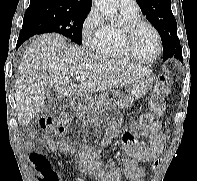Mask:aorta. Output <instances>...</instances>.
I'll list each match as a JSON object with an SVG mask.
<instances>
[{"label": "aorta", "instance_id": "762f6f07", "mask_svg": "<svg viewBox=\"0 0 197 181\" xmlns=\"http://www.w3.org/2000/svg\"><path fill=\"white\" fill-rule=\"evenodd\" d=\"M100 13L108 18L115 19L117 15L116 0H93Z\"/></svg>", "mask_w": 197, "mask_h": 181}]
</instances>
